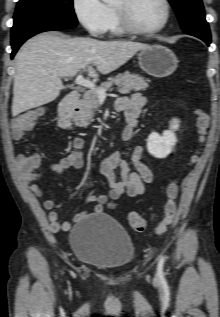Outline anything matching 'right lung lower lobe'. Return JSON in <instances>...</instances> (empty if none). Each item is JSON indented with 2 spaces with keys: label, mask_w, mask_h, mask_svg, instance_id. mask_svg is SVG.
Instances as JSON below:
<instances>
[{
  "label": "right lung lower lobe",
  "mask_w": 220,
  "mask_h": 317,
  "mask_svg": "<svg viewBox=\"0 0 220 317\" xmlns=\"http://www.w3.org/2000/svg\"><path fill=\"white\" fill-rule=\"evenodd\" d=\"M76 25L60 21V20H44V21H37L30 24H27L21 27L19 30L15 31L11 34V46H12V53L11 57L15 55L18 48L30 37L44 31L50 30H63L73 28Z\"/></svg>",
  "instance_id": "right-lung-lower-lobe-1"
}]
</instances>
